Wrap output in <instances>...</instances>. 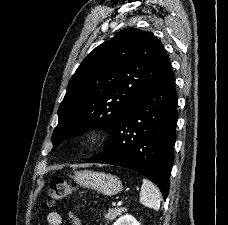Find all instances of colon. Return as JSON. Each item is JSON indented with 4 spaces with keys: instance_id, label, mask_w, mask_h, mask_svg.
Listing matches in <instances>:
<instances>
[{
    "instance_id": "1",
    "label": "colon",
    "mask_w": 228,
    "mask_h": 225,
    "mask_svg": "<svg viewBox=\"0 0 228 225\" xmlns=\"http://www.w3.org/2000/svg\"><path fill=\"white\" fill-rule=\"evenodd\" d=\"M72 193L71 184L61 177L52 178L43 205L61 201Z\"/></svg>"
}]
</instances>
